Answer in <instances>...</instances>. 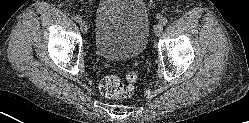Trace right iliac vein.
<instances>
[{
	"instance_id": "right-iliac-vein-1",
	"label": "right iliac vein",
	"mask_w": 249,
	"mask_h": 123,
	"mask_svg": "<svg viewBox=\"0 0 249 123\" xmlns=\"http://www.w3.org/2000/svg\"><path fill=\"white\" fill-rule=\"evenodd\" d=\"M80 29L83 33H86L88 30V24L85 21L80 22Z\"/></svg>"
}]
</instances>
